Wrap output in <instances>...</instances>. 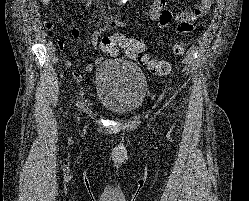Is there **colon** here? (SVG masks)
<instances>
[{
	"label": "colon",
	"mask_w": 249,
	"mask_h": 201,
	"mask_svg": "<svg viewBox=\"0 0 249 201\" xmlns=\"http://www.w3.org/2000/svg\"><path fill=\"white\" fill-rule=\"evenodd\" d=\"M101 49L110 56L116 55L122 50L127 57L145 66L154 75H166L171 71V63L167 60H153L145 52L144 43L138 38H130L118 34L105 36L100 40ZM186 49L184 42H176L173 45V53L181 56Z\"/></svg>",
	"instance_id": "5ec220e1"
}]
</instances>
